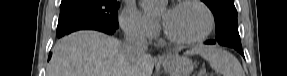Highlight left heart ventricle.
<instances>
[{
	"label": "left heart ventricle",
	"instance_id": "obj_1",
	"mask_svg": "<svg viewBox=\"0 0 287 76\" xmlns=\"http://www.w3.org/2000/svg\"><path fill=\"white\" fill-rule=\"evenodd\" d=\"M162 16L168 31L180 39H190L200 35L207 25L206 14L196 5L165 9Z\"/></svg>",
	"mask_w": 287,
	"mask_h": 76
}]
</instances>
